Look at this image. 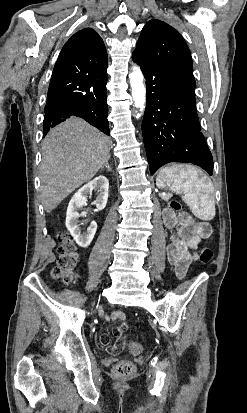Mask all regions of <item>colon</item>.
<instances>
[{
  "label": "colon",
  "instance_id": "colon-1",
  "mask_svg": "<svg viewBox=\"0 0 247 413\" xmlns=\"http://www.w3.org/2000/svg\"><path fill=\"white\" fill-rule=\"evenodd\" d=\"M173 206V210H180V203L171 199L167 202ZM57 240L60 243L58 248L59 260L57 265L52 268L51 275L54 279L59 280L65 284H72L77 280V274L73 271L77 261L78 253L73 244L70 234L65 231H58L56 234ZM213 259V251L210 248L203 247L199 252V260L203 267H209ZM183 263V262H182ZM127 343L132 346V355H139L141 353L140 345L134 343L133 337L127 338ZM115 372L119 381H126L128 376H133L136 373V367L129 361H122L115 366Z\"/></svg>",
  "mask_w": 247,
  "mask_h": 413
}]
</instances>
